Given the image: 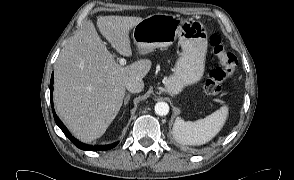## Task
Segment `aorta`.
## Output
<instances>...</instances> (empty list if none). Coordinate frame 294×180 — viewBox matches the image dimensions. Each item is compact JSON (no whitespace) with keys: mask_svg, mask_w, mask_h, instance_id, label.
Returning a JSON list of instances; mask_svg holds the SVG:
<instances>
[{"mask_svg":"<svg viewBox=\"0 0 294 180\" xmlns=\"http://www.w3.org/2000/svg\"><path fill=\"white\" fill-rule=\"evenodd\" d=\"M155 113L159 116H166L169 113V105L166 102L156 103Z\"/></svg>","mask_w":294,"mask_h":180,"instance_id":"762f6f07","label":"aorta"}]
</instances>
